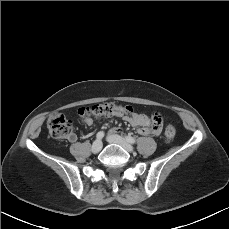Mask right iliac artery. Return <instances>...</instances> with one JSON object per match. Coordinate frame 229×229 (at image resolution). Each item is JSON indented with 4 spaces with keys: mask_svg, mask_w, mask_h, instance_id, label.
<instances>
[{
    "mask_svg": "<svg viewBox=\"0 0 229 229\" xmlns=\"http://www.w3.org/2000/svg\"><path fill=\"white\" fill-rule=\"evenodd\" d=\"M104 135H105L104 132L103 131H100V132L97 133L96 138L98 140H101L104 137Z\"/></svg>",
    "mask_w": 229,
    "mask_h": 229,
    "instance_id": "obj_1",
    "label": "right iliac artery"
}]
</instances>
